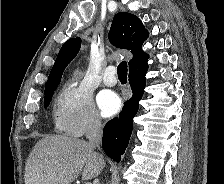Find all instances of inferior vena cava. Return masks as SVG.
<instances>
[{"label":"inferior vena cava","instance_id":"inferior-vena-cava-1","mask_svg":"<svg viewBox=\"0 0 224 184\" xmlns=\"http://www.w3.org/2000/svg\"><path fill=\"white\" fill-rule=\"evenodd\" d=\"M101 121L98 116L93 115L86 128V138L89 141V145L93 148H99L102 138Z\"/></svg>","mask_w":224,"mask_h":184}]
</instances>
